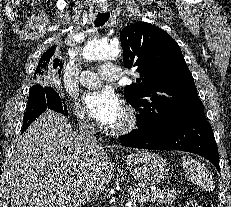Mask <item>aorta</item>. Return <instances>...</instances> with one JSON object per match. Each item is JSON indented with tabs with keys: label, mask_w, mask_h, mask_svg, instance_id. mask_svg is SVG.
Masks as SVG:
<instances>
[{
	"label": "aorta",
	"mask_w": 231,
	"mask_h": 207,
	"mask_svg": "<svg viewBox=\"0 0 231 207\" xmlns=\"http://www.w3.org/2000/svg\"><path fill=\"white\" fill-rule=\"evenodd\" d=\"M121 55L117 44L94 39L83 49V58L86 60H113Z\"/></svg>",
	"instance_id": "obj_1"
}]
</instances>
